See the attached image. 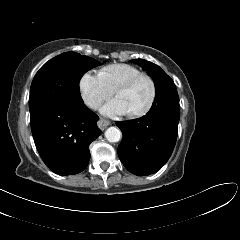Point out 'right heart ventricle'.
Returning a JSON list of instances; mask_svg holds the SVG:
<instances>
[{
	"instance_id": "right-heart-ventricle-1",
	"label": "right heart ventricle",
	"mask_w": 240,
	"mask_h": 240,
	"mask_svg": "<svg viewBox=\"0 0 240 240\" xmlns=\"http://www.w3.org/2000/svg\"><path fill=\"white\" fill-rule=\"evenodd\" d=\"M140 73L141 71L133 65L117 63L103 67L99 71V76L112 90L115 91L121 83Z\"/></svg>"
}]
</instances>
